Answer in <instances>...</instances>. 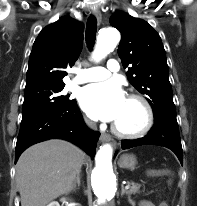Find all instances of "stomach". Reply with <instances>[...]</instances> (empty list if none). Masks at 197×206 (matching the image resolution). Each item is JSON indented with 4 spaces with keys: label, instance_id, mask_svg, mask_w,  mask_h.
I'll return each instance as SVG.
<instances>
[{
    "label": "stomach",
    "instance_id": "obj_1",
    "mask_svg": "<svg viewBox=\"0 0 197 206\" xmlns=\"http://www.w3.org/2000/svg\"><path fill=\"white\" fill-rule=\"evenodd\" d=\"M118 165L124 169L134 170L137 165V159L134 155L124 154L119 158Z\"/></svg>",
    "mask_w": 197,
    "mask_h": 206
}]
</instances>
